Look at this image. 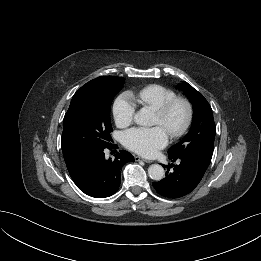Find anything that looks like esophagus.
I'll return each instance as SVG.
<instances>
[{"mask_svg": "<svg viewBox=\"0 0 261 261\" xmlns=\"http://www.w3.org/2000/svg\"><path fill=\"white\" fill-rule=\"evenodd\" d=\"M134 159H135V161H144L146 163H151L152 162V161L144 159V158H142L140 156H135Z\"/></svg>", "mask_w": 261, "mask_h": 261, "instance_id": "1", "label": "esophagus"}]
</instances>
